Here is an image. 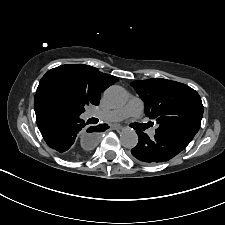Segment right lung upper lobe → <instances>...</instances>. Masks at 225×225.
<instances>
[{"label":"right lung upper lobe","mask_w":225,"mask_h":225,"mask_svg":"<svg viewBox=\"0 0 225 225\" xmlns=\"http://www.w3.org/2000/svg\"><path fill=\"white\" fill-rule=\"evenodd\" d=\"M50 81H61L83 96L88 105H98L100 94L117 82L118 78L102 73L89 65H61L49 70L43 76L37 88L36 97L40 96L39 92L42 85Z\"/></svg>","instance_id":"cb5924a9"}]
</instances>
